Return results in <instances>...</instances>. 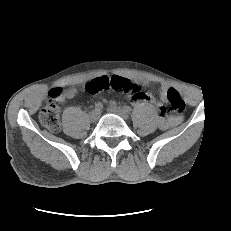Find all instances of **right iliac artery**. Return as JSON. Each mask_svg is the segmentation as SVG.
<instances>
[{
  "mask_svg": "<svg viewBox=\"0 0 231 231\" xmlns=\"http://www.w3.org/2000/svg\"><path fill=\"white\" fill-rule=\"evenodd\" d=\"M103 109V104L98 102L95 104V110L96 111H101Z\"/></svg>",
  "mask_w": 231,
  "mask_h": 231,
  "instance_id": "82829eb1",
  "label": "right iliac artery"
}]
</instances>
